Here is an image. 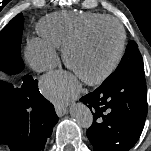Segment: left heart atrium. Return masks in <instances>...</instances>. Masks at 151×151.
I'll return each instance as SVG.
<instances>
[{
  "label": "left heart atrium",
  "instance_id": "39dd6f15",
  "mask_svg": "<svg viewBox=\"0 0 151 151\" xmlns=\"http://www.w3.org/2000/svg\"><path fill=\"white\" fill-rule=\"evenodd\" d=\"M43 93L58 105L73 99L80 91V81L73 73L55 71L41 80Z\"/></svg>",
  "mask_w": 151,
  "mask_h": 151
}]
</instances>
